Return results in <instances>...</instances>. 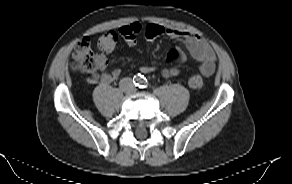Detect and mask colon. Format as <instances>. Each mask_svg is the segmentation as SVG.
I'll use <instances>...</instances> for the list:
<instances>
[{"label":"colon","instance_id":"colon-1","mask_svg":"<svg viewBox=\"0 0 292 184\" xmlns=\"http://www.w3.org/2000/svg\"><path fill=\"white\" fill-rule=\"evenodd\" d=\"M163 34L162 27L157 24H148L144 29V36L149 44H154L158 37ZM119 35L116 31H110L101 36L97 42V47L100 52H110L114 49ZM181 53L177 49L169 51L166 61L173 62L180 59ZM73 68L82 72H90L96 67V55L94 54L89 38L84 37L75 45L73 54ZM189 85L195 89H203L205 86L204 80L199 75H194L189 79Z\"/></svg>","mask_w":292,"mask_h":184}]
</instances>
